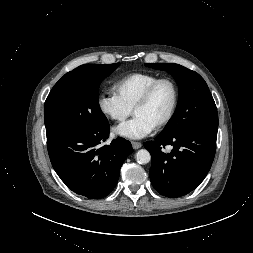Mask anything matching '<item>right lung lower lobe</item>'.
Masks as SVG:
<instances>
[{
    "label": "right lung lower lobe",
    "instance_id": "1",
    "mask_svg": "<svg viewBox=\"0 0 253 253\" xmlns=\"http://www.w3.org/2000/svg\"><path fill=\"white\" fill-rule=\"evenodd\" d=\"M109 123L92 129H68L47 135L52 166L65 185L89 199L107 196L116 186L120 168L132 153L121 137L100 146L109 137Z\"/></svg>",
    "mask_w": 253,
    "mask_h": 253
}]
</instances>
